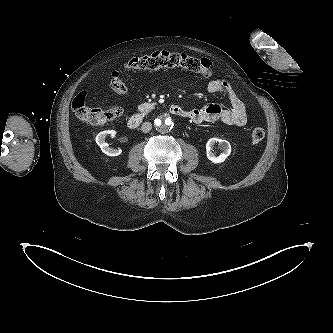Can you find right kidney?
Listing matches in <instances>:
<instances>
[{
  "instance_id": "right-kidney-1",
  "label": "right kidney",
  "mask_w": 333,
  "mask_h": 333,
  "mask_svg": "<svg viewBox=\"0 0 333 333\" xmlns=\"http://www.w3.org/2000/svg\"><path fill=\"white\" fill-rule=\"evenodd\" d=\"M107 134L116 135V131L114 130H107L102 131L96 136V143L98 146H100L103 153H105L108 156H118L121 154V149H111L109 148V145L105 143V137Z\"/></svg>"
}]
</instances>
